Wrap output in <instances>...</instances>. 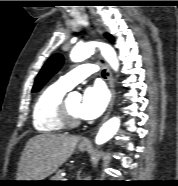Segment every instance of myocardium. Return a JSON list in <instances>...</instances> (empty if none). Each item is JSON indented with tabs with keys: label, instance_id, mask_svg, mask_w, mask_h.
<instances>
[{
	"label": "myocardium",
	"instance_id": "obj_1",
	"mask_svg": "<svg viewBox=\"0 0 178 186\" xmlns=\"http://www.w3.org/2000/svg\"><path fill=\"white\" fill-rule=\"evenodd\" d=\"M57 120L63 128L73 129L81 125L80 118L74 117L67 106V101L63 98L57 108Z\"/></svg>",
	"mask_w": 178,
	"mask_h": 186
}]
</instances>
